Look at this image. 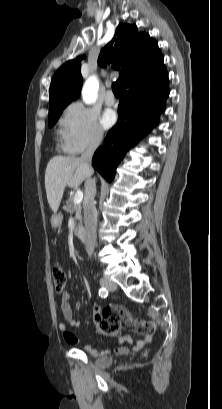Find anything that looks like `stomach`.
Here are the masks:
<instances>
[{"mask_svg":"<svg viewBox=\"0 0 222 409\" xmlns=\"http://www.w3.org/2000/svg\"><path fill=\"white\" fill-rule=\"evenodd\" d=\"M63 216L61 214L55 215L52 219V225L54 227H59L62 224Z\"/></svg>","mask_w":222,"mask_h":409,"instance_id":"obj_1","label":"stomach"}]
</instances>
